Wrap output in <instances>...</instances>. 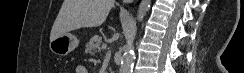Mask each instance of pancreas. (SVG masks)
<instances>
[{
	"label": "pancreas",
	"mask_w": 244,
	"mask_h": 73,
	"mask_svg": "<svg viewBox=\"0 0 244 73\" xmlns=\"http://www.w3.org/2000/svg\"><path fill=\"white\" fill-rule=\"evenodd\" d=\"M102 44V38L99 36H94L86 44L85 52L89 54L96 53L101 50L100 45Z\"/></svg>",
	"instance_id": "cf45deb5"
}]
</instances>
